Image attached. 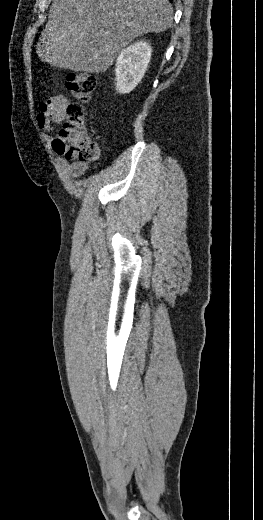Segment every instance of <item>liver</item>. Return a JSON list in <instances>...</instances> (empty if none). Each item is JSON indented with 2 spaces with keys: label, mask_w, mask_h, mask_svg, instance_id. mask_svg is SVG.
Masks as SVG:
<instances>
[{
  "label": "liver",
  "mask_w": 263,
  "mask_h": 520,
  "mask_svg": "<svg viewBox=\"0 0 263 520\" xmlns=\"http://www.w3.org/2000/svg\"><path fill=\"white\" fill-rule=\"evenodd\" d=\"M172 20L168 0H53L36 53L61 69L105 72L132 40Z\"/></svg>",
  "instance_id": "obj_1"
}]
</instances>
